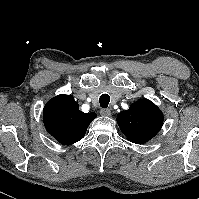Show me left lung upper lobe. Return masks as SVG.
Segmentation results:
<instances>
[{
    "mask_svg": "<svg viewBox=\"0 0 199 199\" xmlns=\"http://www.w3.org/2000/svg\"><path fill=\"white\" fill-rule=\"evenodd\" d=\"M163 120L161 110L146 98L133 103L117 117L122 133L136 144H143L152 139L160 131Z\"/></svg>",
    "mask_w": 199,
    "mask_h": 199,
    "instance_id": "left-lung-upper-lobe-1",
    "label": "left lung upper lobe"
}]
</instances>
